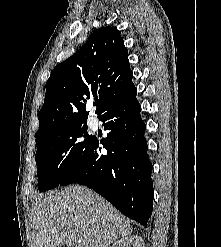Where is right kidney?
Instances as JSON below:
<instances>
[{
    "label": "right kidney",
    "instance_id": "right-kidney-1",
    "mask_svg": "<svg viewBox=\"0 0 221 247\" xmlns=\"http://www.w3.org/2000/svg\"><path fill=\"white\" fill-rule=\"evenodd\" d=\"M111 247H145L139 236H126L116 241Z\"/></svg>",
    "mask_w": 221,
    "mask_h": 247
}]
</instances>
